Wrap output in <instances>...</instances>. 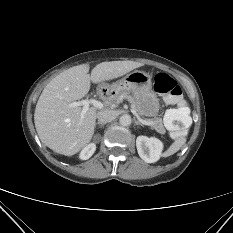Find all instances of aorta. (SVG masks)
Returning <instances> with one entry per match:
<instances>
[{
	"mask_svg": "<svg viewBox=\"0 0 233 233\" xmlns=\"http://www.w3.org/2000/svg\"><path fill=\"white\" fill-rule=\"evenodd\" d=\"M131 121V116L128 114H123L119 119V122L122 126H129Z\"/></svg>",
	"mask_w": 233,
	"mask_h": 233,
	"instance_id": "aorta-1",
	"label": "aorta"
}]
</instances>
